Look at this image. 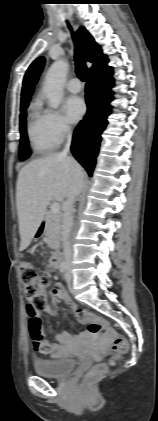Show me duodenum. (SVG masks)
<instances>
[{
	"label": "duodenum",
	"instance_id": "410a0bca",
	"mask_svg": "<svg viewBox=\"0 0 158 421\" xmlns=\"http://www.w3.org/2000/svg\"><path fill=\"white\" fill-rule=\"evenodd\" d=\"M44 227V224L41 228ZM62 262V253L60 251H56L53 253L50 259V264L53 269H58Z\"/></svg>",
	"mask_w": 158,
	"mask_h": 421
}]
</instances>
